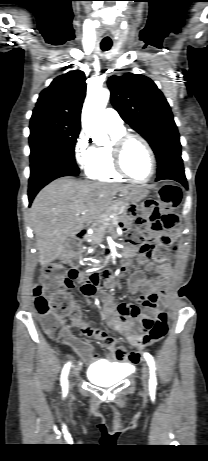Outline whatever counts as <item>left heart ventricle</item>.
<instances>
[{
    "label": "left heart ventricle",
    "mask_w": 208,
    "mask_h": 461,
    "mask_svg": "<svg viewBox=\"0 0 208 461\" xmlns=\"http://www.w3.org/2000/svg\"><path fill=\"white\" fill-rule=\"evenodd\" d=\"M123 161L128 173L137 179L143 180L150 173L151 161L149 154L144 145L137 140H131L128 143Z\"/></svg>",
    "instance_id": "left-heart-ventricle-1"
}]
</instances>
